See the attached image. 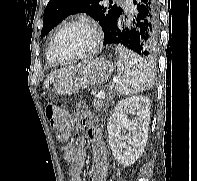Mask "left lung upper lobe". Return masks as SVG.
<instances>
[{
	"label": "left lung upper lobe",
	"mask_w": 197,
	"mask_h": 181,
	"mask_svg": "<svg viewBox=\"0 0 197 181\" xmlns=\"http://www.w3.org/2000/svg\"><path fill=\"white\" fill-rule=\"evenodd\" d=\"M103 0H50L44 10L43 28L41 36L49 33L58 23L69 15L86 13L102 26L104 35L110 24L118 18L123 9L117 5L102 3Z\"/></svg>",
	"instance_id": "5c2ea615"
}]
</instances>
